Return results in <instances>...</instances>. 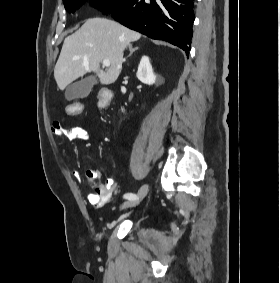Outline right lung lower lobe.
<instances>
[{
	"label": "right lung lower lobe",
	"mask_w": 280,
	"mask_h": 283,
	"mask_svg": "<svg viewBox=\"0 0 280 283\" xmlns=\"http://www.w3.org/2000/svg\"><path fill=\"white\" fill-rule=\"evenodd\" d=\"M193 7L194 0H129L111 16L152 39L178 46L188 56L195 19Z\"/></svg>",
	"instance_id": "1"
}]
</instances>
